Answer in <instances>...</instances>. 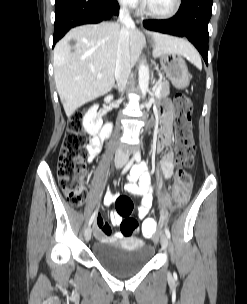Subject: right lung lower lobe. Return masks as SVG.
Wrapping results in <instances>:
<instances>
[{
	"mask_svg": "<svg viewBox=\"0 0 247 304\" xmlns=\"http://www.w3.org/2000/svg\"><path fill=\"white\" fill-rule=\"evenodd\" d=\"M118 11L117 0H56L53 47L70 28L109 20Z\"/></svg>",
	"mask_w": 247,
	"mask_h": 304,
	"instance_id": "1",
	"label": "right lung lower lobe"
}]
</instances>
